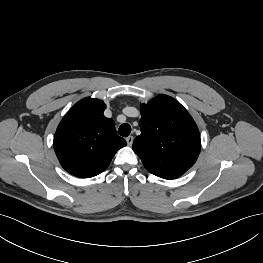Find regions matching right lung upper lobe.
Listing matches in <instances>:
<instances>
[{
    "label": "right lung upper lobe",
    "instance_id": "right-lung-upper-lobe-1",
    "mask_svg": "<svg viewBox=\"0 0 263 263\" xmlns=\"http://www.w3.org/2000/svg\"><path fill=\"white\" fill-rule=\"evenodd\" d=\"M105 104L85 98L63 117L54 136V150L70 174L90 178L107 169L115 153L126 146L115 123L103 114Z\"/></svg>",
    "mask_w": 263,
    "mask_h": 263
}]
</instances>
